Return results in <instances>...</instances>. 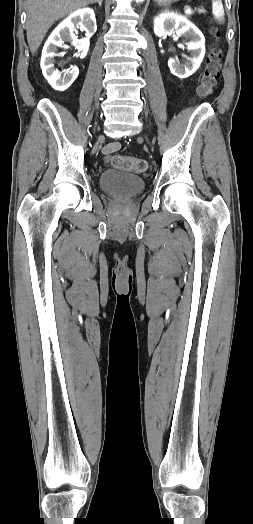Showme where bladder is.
I'll return each instance as SVG.
<instances>
[{
    "mask_svg": "<svg viewBox=\"0 0 253 524\" xmlns=\"http://www.w3.org/2000/svg\"><path fill=\"white\" fill-rule=\"evenodd\" d=\"M98 184L101 191L113 198L130 199L145 189L144 178L129 172L103 170L99 174Z\"/></svg>",
    "mask_w": 253,
    "mask_h": 524,
    "instance_id": "obj_1",
    "label": "bladder"
}]
</instances>
